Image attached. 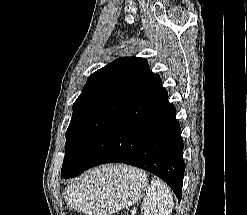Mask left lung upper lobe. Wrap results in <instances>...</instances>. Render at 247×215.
Listing matches in <instances>:
<instances>
[{
    "label": "left lung upper lobe",
    "instance_id": "5c2ea615",
    "mask_svg": "<svg viewBox=\"0 0 247 215\" xmlns=\"http://www.w3.org/2000/svg\"><path fill=\"white\" fill-rule=\"evenodd\" d=\"M147 60L123 57L94 72L73 105L62 169L85 142L103 137L154 77Z\"/></svg>",
    "mask_w": 247,
    "mask_h": 215
}]
</instances>
